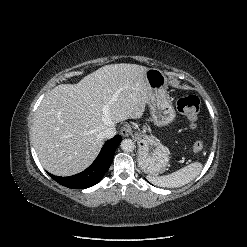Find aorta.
I'll list each match as a JSON object with an SVG mask.
<instances>
[{"label": "aorta", "instance_id": "1", "mask_svg": "<svg viewBox=\"0 0 247 247\" xmlns=\"http://www.w3.org/2000/svg\"><path fill=\"white\" fill-rule=\"evenodd\" d=\"M120 146H121V149L124 152H131L135 148V144H134V142L131 139H124V140H122Z\"/></svg>", "mask_w": 247, "mask_h": 247}]
</instances>
